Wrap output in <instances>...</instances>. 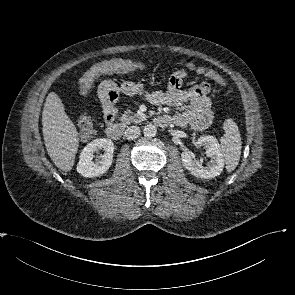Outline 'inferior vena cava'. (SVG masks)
Listing matches in <instances>:
<instances>
[{"label":"inferior vena cava","mask_w":295,"mask_h":295,"mask_svg":"<svg viewBox=\"0 0 295 295\" xmlns=\"http://www.w3.org/2000/svg\"><path fill=\"white\" fill-rule=\"evenodd\" d=\"M140 128L137 126H129L127 127V129L125 130L124 136L129 139V140H133L139 137L140 135Z\"/></svg>","instance_id":"inferior-vena-cava-1"}]
</instances>
